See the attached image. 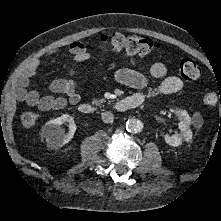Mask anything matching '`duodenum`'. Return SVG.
<instances>
[{"mask_svg":"<svg viewBox=\"0 0 221 221\" xmlns=\"http://www.w3.org/2000/svg\"><path fill=\"white\" fill-rule=\"evenodd\" d=\"M144 101L145 99L141 95H132L118 100L114 107L117 111L123 112L140 106ZM79 111L88 115L94 112V108L89 103H83L79 106Z\"/></svg>","mask_w":221,"mask_h":221,"instance_id":"obj_1","label":"duodenum"}]
</instances>
